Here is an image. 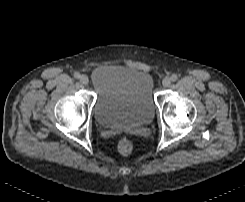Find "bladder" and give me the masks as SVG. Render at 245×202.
Instances as JSON below:
<instances>
[{"label":"bladder","instance_id":"bladder-1","mask_svg":"<svg viewBox=\"0 0 245 202\" xmlns=\"http://www.w3.org/2000/svg\"><path fill=\"white\" fill-rule=\"evenodd\" d=\"M90 81L96 94L93 117L100 127L150 124L156 114L154 80L145 70L123 65L94 68Z\"/></svg>","mask_w":245,"mask_h":202}]
</instances>
